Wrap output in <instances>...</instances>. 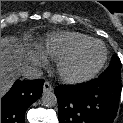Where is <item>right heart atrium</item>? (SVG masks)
<instances>
[{
  "instance_id": "right-heart-atrium-1",
  "label": "right heart atrium",
  "mask_w": 123,
  "mask_h": 123,
  "mask_svg": "<svg viewBox=\"0 0 123 123\" xmlns=\"http://www.w3.org/2000/svg\"><path fill=\"white\" fill-rule=\"evenodd\" d=\"M27 60L31 65L36 67H41L45 65V62H46V58L38 54L37 52L29 53L27 56Z\"/></svg>"
}]
</instances>
